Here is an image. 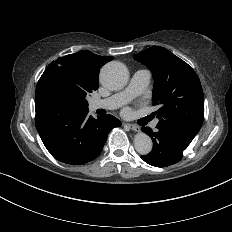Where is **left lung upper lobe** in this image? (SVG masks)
Segmentation results:
<instances>
[{
  "instance_id": "obj_1",
  "label": "left lung upper lobe",
  "mask_w": 232,
  "mask_h": 232,
  "mask_svg": "<svg viewBox=\"0 0 232 232\" xmlns=\"http://www.w3.org/2000/svg\"><path fill=\"white\" fill-rule=\"evenodd\" d=\"M134 59L146 65L154 77L153 104L158 126L192 141L204 120V95L200 80L182 59L167 49L153 46Z\"/></svg>"
}]
</instances>
